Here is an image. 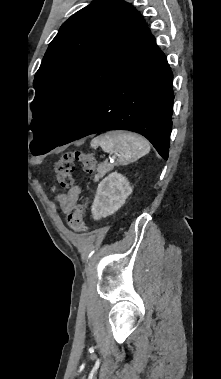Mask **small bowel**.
Here are the masks:
<instances>
[{
	"label": "small bowel",
	"instance_id": "small-bowel-1",
	"mask_svg": "<svg viewBox=\"0 0 221 379\" xmlns=\"http://www.w3.org/2000/svg\"><path fill=\"white\" fill-rule=\"evenodd\" d=\"M80 194V187L74 185L66 193L59 196L60 206L64 213L68 214L75 209Z\"/></svg>",
	"mask_w": 221,
	"mask_h": 379
}]
</instances>
